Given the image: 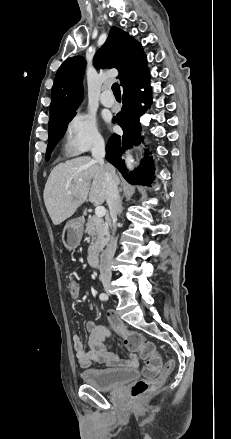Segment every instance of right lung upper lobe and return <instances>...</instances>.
<instances>
[{
	"mask_svg": "<svg viewBox=\"0 0 231 439\" xmlns=\"http://www.w3.org/2000/svg\"><path fill=\"white\" fill-rule=\"evenodd\" d=\"M84 64L83 57H71L57 71L51 93L49 128L76 114L82 97ZM94 64L100 68L118 69V78L124 91L149 73L141 44L115 26L98 50Z\"/></svg>",
	"mask_w": 231,
	"mask_h": 439,
	"instance_id": "obj_1",
	"label": "right lung upper lobe"
}]
</instances>
